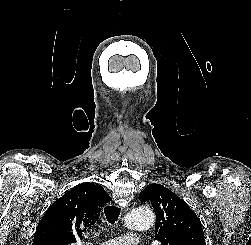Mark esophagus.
Wrapping results in <instances>:
<instances>
[{"mask_svg":"<svg viewBox=\"0 0 251 245\" xmlns=\"http://www.w3.org/2000/svg\"><path fill=\"white\" fill-rule=\"evenodd\" d=\"M134 206H135V202L132 201V202H130V203L124 208V211L126 212V211L130 210V209H132Z\"/></svg>","mask_w":251,"mask_h":245,"instance_id":"obj_1","label":"esophagus"}]
</instances>
